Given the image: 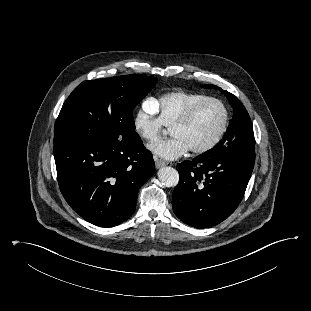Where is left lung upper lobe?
I'll return each mask as SVG.
<instances>
[{"instance_id": "1", "label": "left lung upper lobe", "mask_w": 311, "mask_h": 311, "mask_svg": "<svg viewBox=\"0 0 311 311\" xmlns=\"http://www.w3.org/2000/svg\"><path fill=\"white\" fill-rule=\"evenodd\" d=\"M204 88L216 89L215 85H204ZM219 90H221L219 88ZM233 107V118L222 140L216 147L204 153L206 156H218L235 150H255L253 127L248 112L242 102L233 94L224 91Z\"/></svg>"}]
</instances>
